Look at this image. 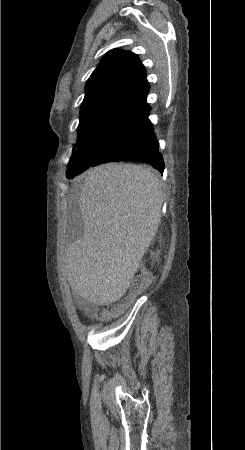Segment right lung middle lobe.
<instances>
[{
    "label": "right lung middle lobe",
    "instance_id": "obj_1",
    "mask_svg": "<svg viewBox=\"0 0 245 450\" xmlns=\"http://www.w3.org/2000/svg\"><path fill=\"white\" fill-rule=\"evenodd\" d=\"M142 113L116 107H96L80 112L77 150L66 177L86 170L101 154L112 152L128 140Z\"/></svg>",
    "mask_w": 245,
    "mask_h": 450
}]
</instances>
